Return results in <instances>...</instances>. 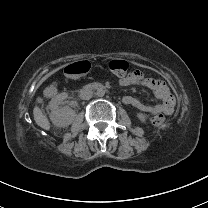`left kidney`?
<instances>
[{"label":"left kidney","mask_w":208,"mask_h":208,"mask_svg":"<svg viewBox=\"0 0 208 208\" xmlns=\"http://www.w3.org/2000/svg\"><path fill=\"white\" fill-rule=\"evenodd\" d=\"M136 117L141 123H146L148 121V115L143 114L142 112L136 113Z\"/></svg>","instance_id":"1"}]
</instances>
